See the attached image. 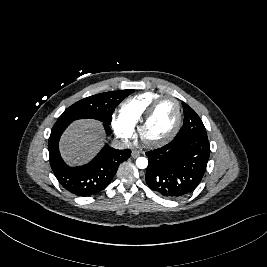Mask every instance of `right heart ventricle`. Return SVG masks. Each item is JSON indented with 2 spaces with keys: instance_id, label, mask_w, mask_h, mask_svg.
Masks as SVG:
<instances>
[{
  "instance_id": "obj_1",
  "label": "right heart ventricle",
  "mask_w": 267,
  "mask_h": 267,
  "mask_svg": "<svg viewBox=\"0 0 267 267\" xmlns=\"http://www.w3.org/2000/svg\"><path fill=\"white\" fill-rule=\"evenodd\" d=\"M160 96V93L148 91L130 97L121 104L119 115L130 127L134 128L150 103Z\"/></svg>"
}]
</instances>
